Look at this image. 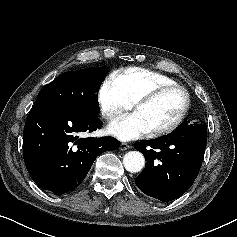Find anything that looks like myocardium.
<instances>
[{
	"label": "myocardium",
	"mask_w": 237,
	"mask_h": 237,
	"mask_svg": "<svg viewBox=\"0 0 237 237\" xmlns=\"http://www.w3.org/2000/svg\"><path fill=\"white\" fill-rule=\"evenodd\" d=\"M170 90H180L183 93L184 105H183L181 111L179 112V114L177 115V117L169 125L159 128V129H156V130H153V131H149V135L151 137H159V136H163L168 133H171L181 124V122L183 121V119L186 116V114L189 110V107H190L191 99H190V94H189L188 90L184 86L177 84V83L176 84L161 85V86L154 88L149 93L143 95L142 97H140L133 103V108L151 103L154 100H156L158 97H160L162 94H164Z\"/></svg>",
	"instance_id": "f54148a6"
}]
</instances>
